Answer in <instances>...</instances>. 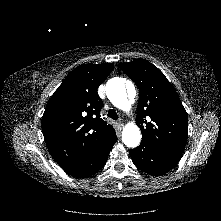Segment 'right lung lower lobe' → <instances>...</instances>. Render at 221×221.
Here are the masks:
<instances>
[{
	"mask_svg": "<svg viewBox=\"0 0 221 221\" xmlns=\"http://www.w3.org/2000/svg\"><path fill=\"white\" fill-rule=\"evenodd\" d=\"M116 141L117 136L114 135L110 140L103 143L83 161L75 165L63 168L64 171L78 178H86L92 176L105 165L109 152Z\"/></svg>",
	"mask_w": 221,
	"mask_h": 221,
	"instance_id": "obj_1",
	"label": "right lung lower lobe"
}]
</instances>
